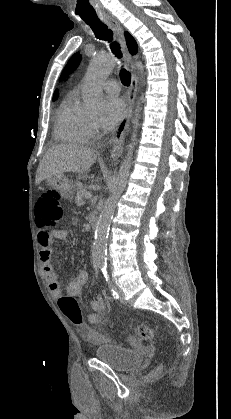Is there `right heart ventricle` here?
Here are the masks:
<instances>
[{"label": "right heart ventricle", "mask_w": 231, "mask_h": 419, "mask_svg": "<svg viewBox=\"0 0 231 419\" xmlns=\"http://www.w3.org/2000/svg\"><path fill=\"white\" fill-rule=\"evenodd\" d=\"M90 119L82 110L77 94L71 93L59 106L54 126L55 137L70 144H84L89 139Z\"/></svg>", "instance_id": "right-heart-ventricle-1"}]
</instances>
